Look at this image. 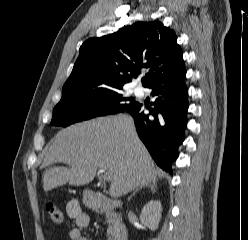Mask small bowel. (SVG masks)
<instances>
[{
    "mask_svg": "<svg viewBox=\"0 0 248 240\" xmlns=\"http://www.w3.org/2000/svg\"><path fill=\"white\" fill-rule=\"evenodd\" d=\"M67 215L75 222V226L68 230L70 240H90L82 233L89 226L90 218L83 211L82 205L78 200H71L66 206Z\"/></svg>",
    "mask_w": 248,
    "mask_h": 240,
    "instance_id": "small-bowel-1",
    "label": "small bowel"
}]
</instances>
